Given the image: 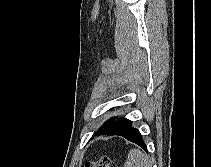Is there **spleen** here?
Instances as JSON below:
<instances>
[{
  "mask_svg": "<svg viewBox=\"0 0 211 167\" xmlns=\"http://www.w3.org/2000/svg\"><path fill=\"white\" fill-rule=\"evenodd\" d=\"M124 167H152L148 156L138 149L130 150Z\"/></svg>",
  "mask_w": 211,
  "mask_h": 167,
  "instance_id": "3e777b00",
  "label": "spleen"
}]
</instances>
